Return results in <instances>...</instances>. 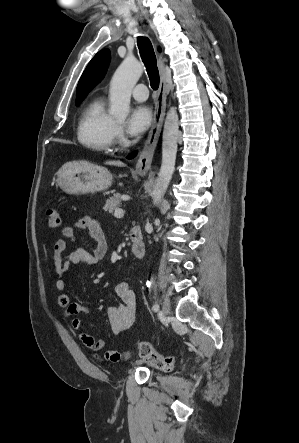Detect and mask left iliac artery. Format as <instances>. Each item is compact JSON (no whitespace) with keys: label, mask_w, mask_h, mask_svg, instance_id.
Instances as JSON below:
<instances>
[{"label":"left iliac artery","mask_w":299,"mask_h":443,"mask_svg":"<svg viewBox=\"0 0 299 443\" xmlns=\"http://www.w3.org/2000/svg\"><path fill=\"white\" fill-rule=\"evenodd\" d=\"M152 309H153V311H158L159 305L158 304H154Z\"/></svg>","instance_id":"44dca946"}]
</instances>
